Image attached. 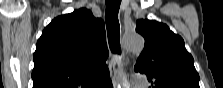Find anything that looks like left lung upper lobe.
Segmentation results:
<instances>
[{
	"mask_svg": "<svg viewBox=\"0 0 223 88\" xmlns=\"http://www.w3.org/2000/svg\"><path fill=\"white\" fill-rule=\"evenodd\" d=\"M136 31L145 45L134 69L146 74L153 88H200L193 57L179 35L166 24L147 19L137 21Z\"/></svg>",
	"mask_w": 223,
	"mask_h": 88,
	"instance_id": "obj_1",
	"label": "left lung upper lobe"
}]
</instances>
